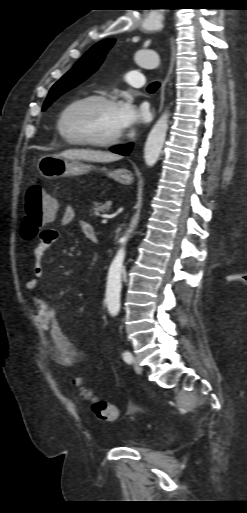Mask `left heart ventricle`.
Here are the masks:
<instances>
[{
  "instance_id": "b2bd125f",
  "label": "left heart ventricle",
  "mask_w": 247,
  "mask_h": 513,
  "mask_svg": "<svg viewBox=\"0 0 247 513\" xmlns=\"http://www.w3.org/2000/svg\"><path fill=\"white\" fill-rule=\"evenodd\" d=\"M63 128L72 137L95 140L122 132L117 120V105L97 101L73 106L66 114Z\"/></svg>"
}]
</instances>
